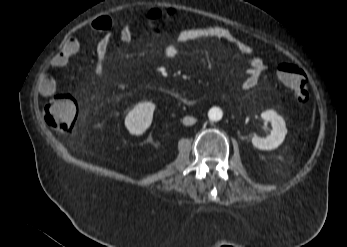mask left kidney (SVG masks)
Masks as SVG:
<instances>
[{
  "mask_svg": "<svg viewBox=\"0 0 347 247\" xmlns=\"http://www.w3.org/2000/svg\"><path fill=\"white\" fill-rule=\"evenodd\" d=\"M262 119L272 124L270 135L261 138L257 135L252 137V144L261 150H273L277 148L284 140L287 134V128L284 119L274 110H267L261 114Z\"/></svg>",
  "mask_w": 347,
  "mask_h": 247,
  "instance_id": "obj_1",
  "label": "left kidney"
}]
</instances>
